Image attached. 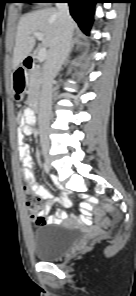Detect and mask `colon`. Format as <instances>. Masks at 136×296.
Returning a JSON list of instances; mask_svg holds the SVG:
<instances>
[{
	"label": "colon",
	"instance_id": "5ec220e1",
	"mask_svg": "<svg viewBox=\"0 0 136 296\" xmlns=\"http://www.w3.org/2000/svg\"><path fill=\"white\" fill-rule=\"evenodd\" d=\"M24 199L25 206L28 213L30 214V217L35 221L36 224L43 225L46 222V217L41 215L43 207L39 197L31 192L28 187H25ZM102 207L106 211L112 210L111 206L107 204L102 205Z\"/></svg>",
	"mask_w": 136,
	"mask_h": 296
}]
</instances>
